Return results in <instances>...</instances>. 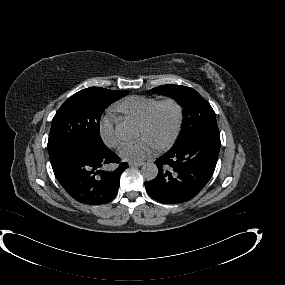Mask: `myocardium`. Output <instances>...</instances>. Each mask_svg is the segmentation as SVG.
Returning a JSON list of instances; mask_svg holds the SVG:
<instances>
[{
    "label": "myocardium",
    "instance_id": "1",
    "mask_svg": "<svg viewBox=\"0 0 285 285\" xmlns=\"http://www.w3.org/2000/svg\"><path fill=\"white\" fill-rule=\"evenodd\" d=\"M169 105H171L175 108V112H176L175 120H174L173 126H172L171 130L169 131V133L167 134V136L160 141L154 142L156 147L159 149H164V148L170 146L174 142V140L177 138V136L181 130L182 123H183V107H182V105L173 99L161 100L158 103L153 115L150 117V119L148 121H146L143 124V128H142V130L144 132H150L154 128V126L157 124V122L159 121V119L161 117L162 110L166 106H169Z\"/></svg>",
    "mask_w": 285,
    "mask_h": 285
}]
</instances>
